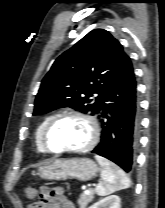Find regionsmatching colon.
Listing matches in <instances>:
<instances>
[{"instance_id": "obj_1", "label": "colon", "mask_w": 165, "mask_h": 208, "mask_svg": "<svg viewBox=\"0 0 165 208\" xmlns=\"http://www.w3.org/2000/svg\"><path fill=\"white\" fill-rule=\"evenodd\" d=\"M25 195L30 203H34L35 199L37 198V191L35 188L28 187L25 189Z\"/></svg>"}]
</instances>
